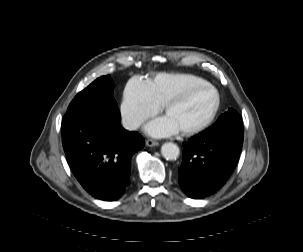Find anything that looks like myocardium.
Here are the masks:
<instances>
[{
    "label": "myocardium",
    "mask_w": 303,
    "mask_h": 252,
    "mask_svg": "<svg viewBox=\"0 0 303 252\" xmlns=\"http://www.w3.org/2000/svg\"><path fill=\"white\" fill-rule=\"evenodd\" d=\"M202 87H207L212 90V92L214 93V105H213L209 115L207 116V118L201 124L193 126V127L178 129L182 135L188 136V135L198 133V132L206 129L213 122V120L218 112L219 106H220V97H219V93H218L216 87L213 84H211L210 82H201L198 85H196L194 88H192L190 91H188L186 94H184L182 97L174 99V100H170L167 103H165L163 106V112L166 114L172 106L184 102L191 95L192 92H194L196 89L202 88Z\"/></svg>",
    "instance_id": "obj_1"
}]
</instances>
